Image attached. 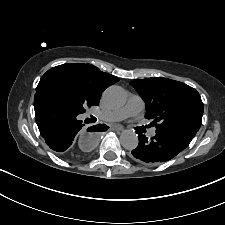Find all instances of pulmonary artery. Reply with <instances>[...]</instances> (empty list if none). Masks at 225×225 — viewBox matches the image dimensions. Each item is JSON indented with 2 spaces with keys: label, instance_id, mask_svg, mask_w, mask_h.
<instances>
[{
  "label": "pulmonary artery",
  "instance_id": "e3ab8cb5",
  "mask_svg": "<svg viewBox=\"0 0 225 225\" xmlns=\"http://www.w3.org/2000/svg\"><path fill=\"white\" fill-rule=\"evenodd\" d=\"M145 103L138 95H131L127 103L116 110L95 114L97 118L104 122L119 121L129 116H135L144 110ZM150 136H155V130L150 131Z\"/></svg>",
  "mask_w": 225,
  "mask_h": 225
}]
</instances>
